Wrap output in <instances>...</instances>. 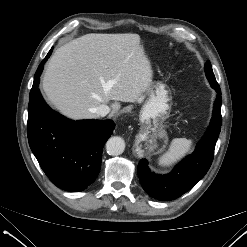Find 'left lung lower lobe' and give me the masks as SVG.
<instances>
[{"instance_id": "obj_1", "label": "left lung lower lobe", "mask_w": 247, "mask_h": 247, "mask_svg": "<svg viewBox=\"0 0 247 247\" xmlns=\"http://www.w3.org/2000/svg\"><path fill=\"white\" fill-rule=\"evenodd\" d=\"M210 85L217 92L213 115L206 134L196 146L195 151L166 175L151 172L147 166V160H140L138 176L143 189L151 197L164 201L176 199L190 190L209 170L222 122L221 90L218 84Z\"/></svg>"}]
</instances>
